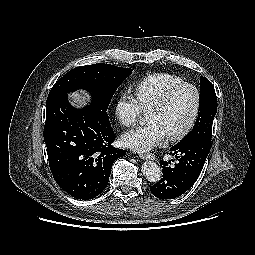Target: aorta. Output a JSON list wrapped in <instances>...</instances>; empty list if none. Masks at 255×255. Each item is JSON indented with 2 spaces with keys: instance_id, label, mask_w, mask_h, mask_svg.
I'll return each instance as SVG.
<instances>
[{
  "instance_id": "aorta-1",
  "label": "aorta",
  "mask_w": 255,
  "mask_h": 255,
  "mask_svg": "<svg viewBox=\"0 0 255 255\" xmlns=\"http://www.w3.org/2000/svg\"><path fill=\"white\" fill-rule=\"evenodd\" d=\"M142 173L151 183H156L162 178V170L160 166L153 161H146L143 163Z\"/></svg>"
}]
</instances>
